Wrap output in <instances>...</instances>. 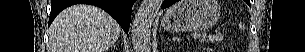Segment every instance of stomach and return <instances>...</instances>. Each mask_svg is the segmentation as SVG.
Listing matches in <instances>:
<instances>
[{"mask_svg": "<svg viewBox=\"0 0 305 52\" xmlns=\"http://www.w3.org/2000/svg\"><path fill=\"white\" fill-rule=\"evenodd\" d=\"M220 17L216 0H181L169 8L161 20L166 31H200L211 28Z\"/></svg>", "mask_w": 305, "mask_h": 52, "instance_id": "stomach-1", "label": "stomach"}]
</instances>
